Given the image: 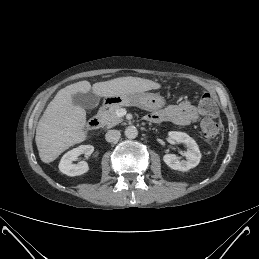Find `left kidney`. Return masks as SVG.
Listing matches in <instances>:
<instances>
[{
	"mask_svg": "<svg viewBox=\"0 0 259 259\" xmlns=\"http://www.w3.org/2000/svg\"><path fill=\"white\" fill-rule=\"evenodd\" d=\"M169 137L177 142L185 144L188 149L184 153L186 160H180L174 154H166L163 156V161L173 170L187 171L196 167L201 159L199 147L194 139L184 132L171 131Z\"/></svg>",
	"mask_w": 259,
	"mask_h": 259,
	"instance_id": "left-kidney-1",
	"label": "left kidney"
}]
</instances>
